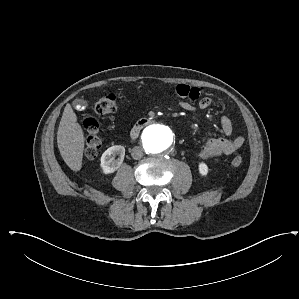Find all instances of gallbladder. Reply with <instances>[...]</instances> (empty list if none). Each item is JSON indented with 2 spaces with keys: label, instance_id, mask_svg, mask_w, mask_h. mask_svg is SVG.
<instances>
[{
  "label": "gallbladder",
  "instance_id": "1",
  "mask_svg": "<svg viewBox=\"0 0 299 299\" xmlns=\"http://www.w3.org/2000/svg\"><path fill=\"white\" fill-rule=\"evenodd\" d=\"M79 103H81L82 105H85V104H86V101H84V100H80Z\"/></svg>",
  "mask_w": 299,
  "mask_h": 299
}]
</instances>
